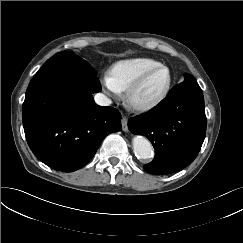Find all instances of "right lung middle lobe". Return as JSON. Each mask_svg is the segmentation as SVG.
I'll list each match as a JSON object with an SVG mask.
<instances>
[{
    "label": "right lung middle lobe",
    "instance_id": "obj_1",
    "mask_svg": "<svg viewBox=\"0 0 243 243\" xmlns=\"http://www.w3.org/2000/svg\"><path fill=\"white\" fill-rule=\"evenodd\" d=\"M62 71L75 74H93L95 70L90 64L73 52H60L55 54L38 71L39 73H52Z\"/></svg>",
    "mask_w": 243,
    "mask_h": 243
}]
</instances>
